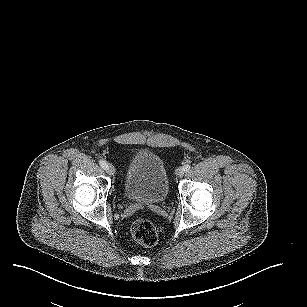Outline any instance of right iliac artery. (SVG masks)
I'll return each mask as SVG.
<instances>
[{
  "label": "right iliac artery",
  "instance_id": "obj_1",
  "mask_svg": "<svg viewBox=\"0 0 307 307\" xmlns=\"http://www.w3.org/2000/svg\"><path fill=\"white\" fill-rule=\"evenodd\" d=\"M99 164H100V166H101L102 168L106 169V167H107L106 161L100 160V161H99Z\"/></svg>",
  "mask_w": 307,
  "mask_h": 307
}]
</instances>
